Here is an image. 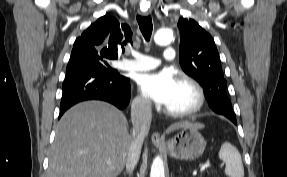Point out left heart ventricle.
I'll list each match as a JSON object with an SVG mask.
<instances>
[{"label": "left heart ventricle", "instance_id": "b2bd125f", "mask_svg": "<svg viewBox=\"0 0 287 177\" xmlns=\"http://www.w3.org/2000/svg\"><path fill=\"white\" fill-rule=\"evenodd\" d=\"M194 104V95L190 88L178 82L172 96L165 105L171 110L187 109Z\"/></svg>", "mask_w": 287, "mask_h": 177}]
</instances>
